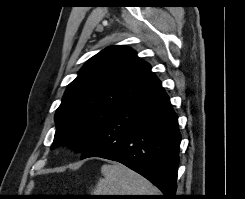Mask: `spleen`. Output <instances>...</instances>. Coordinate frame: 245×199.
Here are the masks:
<instances>
[{
	"instance_id": "3e777b00",
	"label": "spleen",
	"mask_w": 245,
	"mask_h": 199,
	"mask_svg": "<svg viewBox=\"0 0 245 199\" xmlns=\"http://www.w3.org/2000/svg\"><path fill=\"white\" fill-rule=\"evenodd\" d=\"M103 178L95 186L94 195H159V191L147 179L123 164H104Z\"/></svg>"
}]
</instances>
